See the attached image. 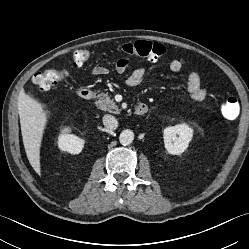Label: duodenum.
<instances>
[{
    "label": "duodenum",
    "mask_w": 249,
    "mask_h": 249,
    "mask_svg": "<svg viewBox=\"0 0 249 249\" xmlns=\"http://www.w3.org/2000/svg\"><path fill=\"white\" fill-rule=\"evenodd\" d=\"M93 91L89 88H82L78 91V96L85 101H89L93 98ZM135 113L138 116H143L146 114L148 107L143 102H136L134 106Z\"/></svg>",
    "instance_id": "1"
}]
</instances>
